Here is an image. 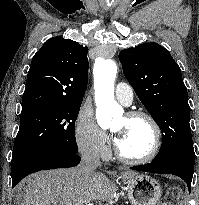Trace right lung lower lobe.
I'll return each instance as SVG.
<instances>
[{"label": "right lung lower lobe", "mask_w": 199, "mask_h": 205, "mask_svg": "<svg viewBox=\"0 0 199 205\" xmlns=\"http://www.w3.org/2000/svg\"><path fill=\"white\" fill-rule=\"evenodd\" d=\"M80 156L64 149L51 148L39 151L12 163V187L27 175L40 170L74 167Z\"/></svg>", "instance_id": "1"}]
</instances>
